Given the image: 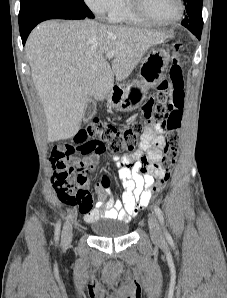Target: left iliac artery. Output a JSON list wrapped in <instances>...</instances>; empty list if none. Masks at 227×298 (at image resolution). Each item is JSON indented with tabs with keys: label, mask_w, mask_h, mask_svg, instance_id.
Segmentation results:
<instances>
[{
	"label": "left iliac artery",
	"mask_w": 227,
	"mask_h": 298,
	"mask_svg": "<svg viewBox=\"0 0 227 298\" xmlns=\"http://www.w3.org/2000/svg\"><path fill=\"white\" fill-rule=\"evenodd\" d=\"M154 211H155V214H156L158 220L160 221L161 225L163 226L166 237L170 238L169 233L167 232V230L164 227V216H163L162 210L159 208V206L155 205L154 206Z\"/></svg>",
	"instance_id": "obj_1"
}]
</instances>
